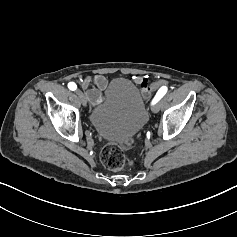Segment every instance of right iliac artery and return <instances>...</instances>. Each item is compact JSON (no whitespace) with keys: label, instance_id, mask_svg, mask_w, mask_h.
<instances>
[{"label":"right iliac artery","instance_id":"82829eb1","mask_svg":"<svg viewBox=\"0 0 237 237\" xmlns=\"http://www.w3.org/2000/svg\"><path fill=\"white\" fill-rule=\"evenodd\" d=\"M68 88L72 91L76 90L77 85L74 82L68 83Z\"/></svg>","mask_w":237,"mask_h":237}]
</instances>
